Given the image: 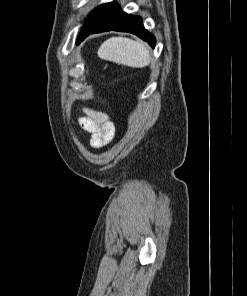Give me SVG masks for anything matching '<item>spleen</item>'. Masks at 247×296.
<instances>
[{"label": "spleen", "instance_id": "1", "mask_svg": "<svg viewBox=\"0 0 247 296\" xmlns=\"http://www.w3.org/2000/svg\"><path fill=\"white\" fill-rule=\"evenodd\" d=\"M98 56L103 60L133 68L145 67L151 61L150 52L143 42L125 37L107 39L100 46Z\"/></svg>", "mask_w": 247, "mask_h": 296}]
</instances>
